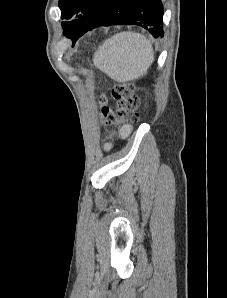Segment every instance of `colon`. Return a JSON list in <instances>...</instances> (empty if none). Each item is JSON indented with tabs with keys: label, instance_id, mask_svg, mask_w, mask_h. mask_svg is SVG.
Listing matches in <instances>:
<instances>
[{
	"label": "colon",
	"instance_id": "1",
	"mask_svg": "<svg viewBox=\"0 0 227 298\" xmlns=\"http://www.w3.org/2000/svg\"><path fill=\"white\" fill-rule=\"evenodd\" d=\"M111 94L117 104L116 111L107 105L105 96L101 95L99 97L101 122L105 125L136 123L139 120L140 99L135 94L133 85L117 84L112 88Z\"/></svg>",
	"mask_w": 227,
	"mask_h": 298
}]
</instances>
